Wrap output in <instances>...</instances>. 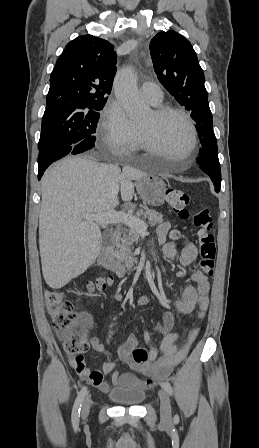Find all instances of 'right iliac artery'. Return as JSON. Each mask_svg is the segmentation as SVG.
Instances as JSON below:
<instances>
[{
  "label": "right iliac artery",
  "mask_w": 259,
  "mask_h": 448,
  "mask_svg": "<svg viewBox=\"0 0 259 448\" xmlns=\"http://www.w3.org/2000/svg\"><path fill=\"white\" fill-rule=\"evenodd\" d=\"M86 393H87V387L84 386L81 389V391L79 392V394H78V396H77V398L75 400V403H74V406H73V410H72V416H71L72 422L74 424H77L78 421H79L80 410H81V406H82V403H83V400L85 398Z\"/></svg>",
  "instance_id": "right-iliac-artery-1"
}]
</instances>
